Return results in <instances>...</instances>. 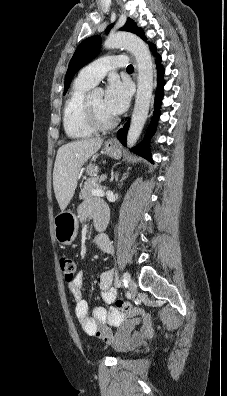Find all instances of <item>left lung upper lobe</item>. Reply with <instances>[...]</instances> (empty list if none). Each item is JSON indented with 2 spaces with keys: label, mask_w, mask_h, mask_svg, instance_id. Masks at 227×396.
I'll use <instances>...</instances> for the list:
<instances>
[{
  "label": "left lung upper lobe",
  "mask_w": 227,
  "mask_h": 396,
  "mask_svg": "<svg viewBox=\"0 0 227 396\" xmlns=\"http://www.w3.org/2000/svg\"><path fill=\"white\" fill-rule=\"evenodd\" d=\"M113 25H110L106 34L109 33ZM123 31H129L140 36L142 39L146 40L144 32L141 28L137 27L136 23L130 18L127 19L126 24L121 28ZM100 36H93L84 40L75 51L72 59L70 60L68 70L65 77V90L64 94L69 88L71 80L75 73L82 68L85 64L90 62L99 52V47L101 44Z\"/></svg>",
  "instance_id": "1"
}]
</instances>
